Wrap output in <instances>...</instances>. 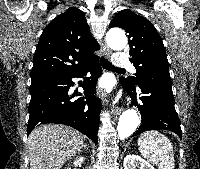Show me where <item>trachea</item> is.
I'll list each match as a JSON object with an SVG mask.
<instances>
[{
  "instance_id": "trachea-1",
  "label": "trachea",
  "mask_w": 200,
  "mask_h": 169,
  "mask_svg": "<svg viewBox=\"0 0 200 169\" xmlns=\"http://www.w3.org/2000/svg\"><path fill=\"white\" fill-rule=\"evenodd\" d=\"M100 64L102 65L103 68L107 69V70H124L123 68H117L115 66H113L107 59H105L104 57L100 58Z\"/></svg>"
}]
</instances>
